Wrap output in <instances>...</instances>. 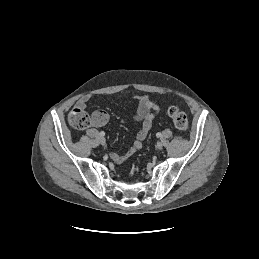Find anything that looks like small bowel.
I'll use <instances>...</instances> for the list:
<instances>
[{"label": "small bowel", "instance_id": "1", "mask_svg": "<svg viewBox=\"0 0 259 259\" xmlns=\"http://www.w3.org/2000/svg\"><path fill=\"white\" fill-rule=\"evenodd\" d=\"M87 101L88 97L81 98L80 100H78L76 107L84 109L86 107ZM136 103L137 109L133 119L135 122L141 124V128L137 133L135 141L125 153L115 152L112 154V159L116 163L124 162L142 147V142L146 138L151 128L153 119L159 112V106L146 96H138L136 98ZM108 120L109 115L104 110H96L93 113L92 123L95 127L104 126L105 124H107Z\"/></svg>", "mask_w": 259, "mask_h": 259}]
</instances>
